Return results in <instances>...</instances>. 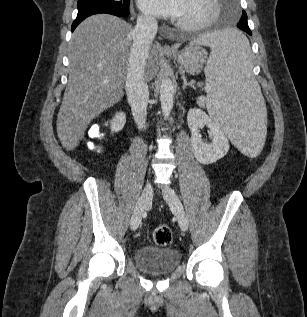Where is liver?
<instances>
[{
	"label": "liver",
	"mask_w": 307,
	"mask_h": 317,
	"mask_svg": "<svg viewBox=\"0 0 307 317\" xmlns=\"http://www.w3.org/2000/svg\"><path fill=\"white\" fill-rule=\"evenodd\" d=\"M132 26L107 14L85 19L69 45V79L57 116V134L66 150H73L90 122L118 102L133 44ZM147 80L159 69V48L153 45L145 65ZM211 92V91H210Z\"/></svg>",
	"instance_id": "obj_1"
}]
</instances>
